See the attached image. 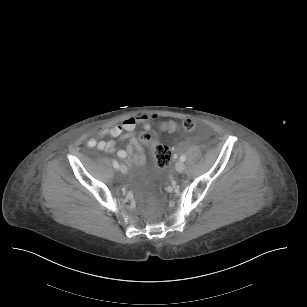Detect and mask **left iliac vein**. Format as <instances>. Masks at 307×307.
I'll return each instance as SVG.
<instances>
[{"mask_svg": "<svg viewBox=\"0 0 307 307\" xmlns=\"http://www.w3.org/2000/svg\"><path fill=\"white\" fill-rule=\"evenodd\" d=\"M175 168H176V170L178 171V172H183L184 170H185V164H184V162L183 161H178L177 163H176V166H175Z\"/></svg>", "mask_w": 307, "mask_h": 307, "instance_id": "1", "label": "left iliac vein"}]
</instances>
